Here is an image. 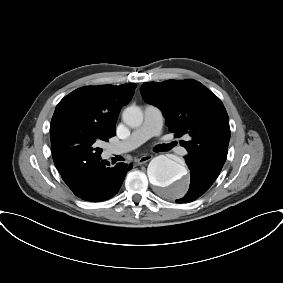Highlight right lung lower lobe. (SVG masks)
<instances>
[{
    "label": "right lung lower lobe",
    "instance_id": "obj_1",
    "mask_svg": "<svg viewBox=\"0 0 283 283\" xmlns=\"http://www.w3.org/2000/svg\"><path fill=\"white\" fill-rule=\"evenodd\" d=\"M132 165L117 163L110 166L99 156H90L74 162L59 171L73 193L86 201H105L118 193Z\"/></svg>",
    "mask_w": 283,
    "mask_h": 283
}]
</instances>
